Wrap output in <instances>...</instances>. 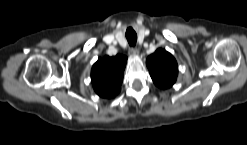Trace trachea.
Listing matches in <instances>:
<instances>
[{
  "label": "trachea",
  "mask_w": 247,
  "mask_h": 145,
  "mask_svg": "<svg viewBox=\"0 0 247 145\" xmlns=\"http://www.w3.org/2000/svg\"><path fill=\"white\" fill-rule=\"evenodd\" d=\"M126 38H127V41L131 47H134L136 45L137 35L133 29H128L126 31Z\"/></svg>",
  "instance_id": "trachea-1"
}]
</instances>
